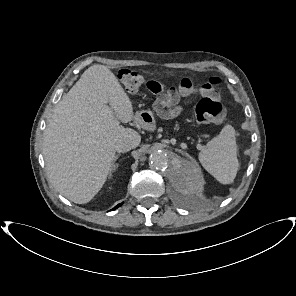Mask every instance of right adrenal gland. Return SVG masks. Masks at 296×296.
<instances>
[{
	"instance_id": "obj_1",
	"label": "right adrenal gland",
	"mask_w": 296,
	"mask_h": 296,
	"mask_svg": "<svg viewBox=\"0 0 296 296\" xmlns=\"http://www.w3.org/2000/svg\"><path fill=\"white\" fill-rule=\"evenodd\" d=\"M120 155H121V154H117V155L115 156L114 163L117 161V159L120 157ZM117 168H118V164H114L113 167H112V169H111V171H110V175H111L113 172H115Z\"/></svg>"
}]
</instances>
